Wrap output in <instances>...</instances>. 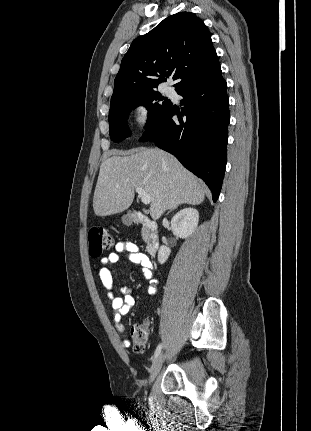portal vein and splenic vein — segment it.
Segmentation results:
<instances>
[{
	"label": "portal vein and splenic vein",
	"instance_id": "obj_1",
	"mask_svg": "<svg viewBox=\"0 0 311 431\" xmlns=\"http://www.w3.org/2000/svg\"><path fill=\"white\" fill-rule=\"evenodd\" d=\"M139 198H141V202L142 204H150L151 202V198L149 196V194H147V192H145V190H143V188H135Z\"/></svg>",
	"mask_w": 311,
	"mask_h": 431
}]
</instances>
